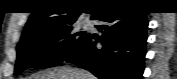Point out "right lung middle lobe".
Here are the masks:
<instances>
[{"label":"right lung middle lobe","mask_w":177,"mask_h":79,"mask_svg":"<svg viewBox=\"0 0 177 79\" xmlns=\"http://www.w3.org/2000/svg\"><path fill=\"white\" fill-rule=\"evenodd\" d=\"M73 24L43 28L21 38L17 46L15 75L27 68L61 64L87 36L84 32L71 35Z\"/></svg>","instance_id":"dd1d6c3e"}]
</instances>
